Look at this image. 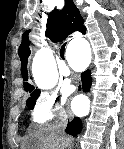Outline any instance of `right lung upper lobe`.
Listing matches in <instances>:
<instances>
[{
	"label": "right lung upper lobe",
	"instance_id": "1",
	"mask_svg": "<svg viewBox=\"0 0 124 149\" xmlns=\"http://www.w3.org/2000/svg\"><path fill=\"white\" fill-rule=\"evenodd\" d=\"M83 23L84 21L80 16L79 10L74 5L73 1L65 0V6L61 11L53 10L48 16V37L53 42H60L63 41L66 37H68V35L76 31L85 34L86 27L83 25ZM28 32L29 31H26L22 35V42L18 51L21 60V70L24 81H27L28 79L27 58L30 55ZM27 86L30 88H34L29 83L24 82V87Z\"/></svg>",
	"mask_w": 124,
	"mask_h": 149
}]
</instances>
